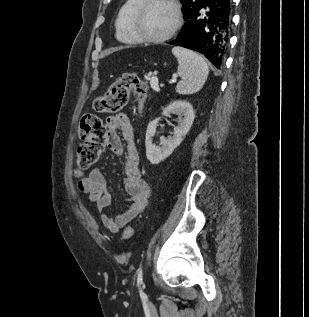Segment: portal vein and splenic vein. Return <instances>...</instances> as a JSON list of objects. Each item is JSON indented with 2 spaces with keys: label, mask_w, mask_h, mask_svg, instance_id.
<instances>
[{
  "label": "portal vein and splenic vein",
  "mask_w": 309,
  "mask_h": 317,
  "mask_svg": "<svg viewBox=\"0 0 309 317\" xmlns=\"http://www.w3.org/2000/svg\"><path fill=\"white\" fill-rule=\"evenodd\" d=\"M150 84H151V87L158 91L159 90V87H158V78L156 76L152 77L151 80H150Z\"/></svg>",
  "instance_id": "18ae733b"
}]
</instances>
